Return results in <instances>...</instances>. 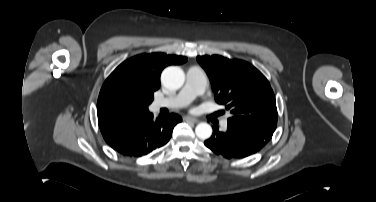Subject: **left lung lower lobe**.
<instances>
[{
	"label": "left lung lower lobe",
	"instance_id": "0a47b994",
	"mask_svg": "<svg viewBox=\"0 0 376 202\" xmlns=\"http://www.w3.org/2000/svg\"><path fill=\"white\" fill-rule=\"evenodd\" d=\"M214 133L204 144L215 154L227 159L244 158L262 149L272 138L274 130L228 119L227 130Z\"/></svg>",
	"mask_w": 376,
	"mask_h": 202
}]
</instances>
